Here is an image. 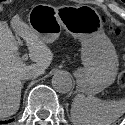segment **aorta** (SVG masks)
I'll list each match as a JSON object with an SVG mask.
<instances>
[{
  "mask_svg": "<svg viewBox=\"0 0 125 125\" xmlns=\"http://www.w3.org/2000/svg\"><path fill=\"white\" fill-rule=\"evenodd\" d=\"M52 86L59 93H68L72 89V79L65 72H58L52 77Z\"/></svg>",
  "mask_w": 125,
  "mask_h": 125,
  "instance_id": "obj_1",
  "label": "aorta"
}]
</instances>
